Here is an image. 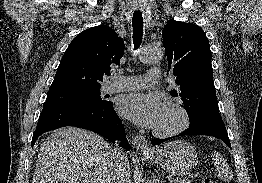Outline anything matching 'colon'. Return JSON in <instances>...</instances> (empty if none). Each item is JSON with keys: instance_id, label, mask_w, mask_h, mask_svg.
Returning <instances> with one entry per match:
<instances>
[{"instance_id": "obj_1", "label": "colon", "mask_w": 262, "mask_h": 183, "mask_svg": "<svg viewBox=\"0 0 262 183\" xmlns=\"http://www.w3.org/2000/svg\"><path fill=\"white\" fill-rule=\"evenodd\" d=\"M203 183H215V182L210 178H205Z\"/></svg>"}]
</instances>
